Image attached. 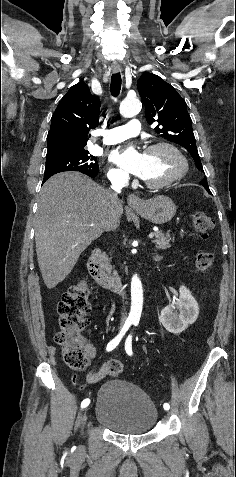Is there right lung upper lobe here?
<instances>
[{
    "mask_svg": "<svg viewBox=\"0 0 236 477\" xmlns=\"http://www.w3.org/2000/svg\"><path fill=\"white\" fill-rule=\"evenodd\" d=\"M100 100L85 82L72 86L59 102L47 135L46 161L76 153L87 144L89 131L98 125Z\"/></svg>",
    "mask_w": 236,
    "mask_h": 477,
    "instance_id": "right-lung-upper-lobe-1",
    "label": "right lung upper lobe"
}]
</instances>
